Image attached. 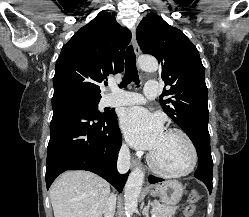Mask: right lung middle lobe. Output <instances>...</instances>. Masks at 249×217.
<instances>
[{"mask_svg":"<svg viewBox=\"0 0 249 217\" xmlns=\"http://www.w3.org/2000/svg\"><path fill=\"white\" fill-rule=\"evenodd\" d=\"M66 97L76 100L84 104L88 109H90L95 115L100 117L111 115L110 112L100 113L98 111V103L101 97H93L80 92L67 91L54 95L53 98Z\"/></svg>","mask_w":249,"mask_h":217,"instance_id":"right-lung-middle-lobe-1","label":"right lung middle lobe"}]
</instances>
